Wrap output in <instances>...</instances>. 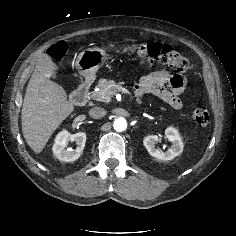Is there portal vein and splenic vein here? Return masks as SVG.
Masks as SVG:
<instances>
[{
    "label": "portal vein and splenic vein",
    "instance_id": "1",
    "mask_svg": "<svg viewBox=\"0 0 236 236\" xmlns=\"http://www.w3.org/2000/svg\"><path fill=\"white\" fill-rule=\"evenodd\" d=\"M115 89H116V91H120V92H123V93H129V91L121 85H116Z\"/></svg>",
    "mask_w": 236,
    "mask_h": 236
}]
</instances>
